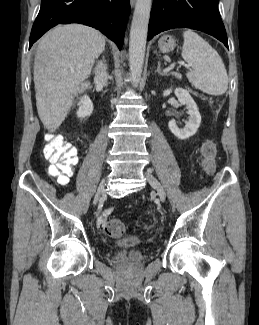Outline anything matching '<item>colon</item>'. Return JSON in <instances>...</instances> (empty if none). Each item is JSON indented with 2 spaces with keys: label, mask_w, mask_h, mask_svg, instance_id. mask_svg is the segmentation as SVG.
<instances>
[{
  "label": "colon",
  "mask_w": 259,
  "mask_h": 325,
  "mask_svg": "<svg viewBox=\"0 0 259 325\" xmlns=\"http://www.w3.org/2000/svg\"><path fill=\"white\" fill-rule=\"evenodd\" d=\"M44 156L51 163L49 172L57 178L58 183L66 184L74 173L78 162L77 152L68 141L60 136H52L44 148ZM216 147L212 142H206L201 148L202 167L206 173L212 174L215 171ZM150 225H144L149 229ZM105 232L113 238L121 237L125 233V225L119 219L106 221Z\"/></svg>",
  "instance_id": "5ec220e1"
}]
</instances>
